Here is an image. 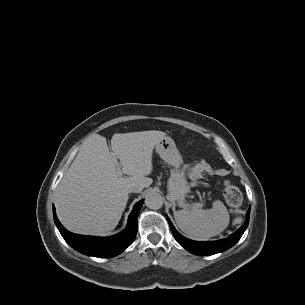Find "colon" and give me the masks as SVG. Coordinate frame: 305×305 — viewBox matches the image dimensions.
Listing matches in <instances>:
<instances>
[{
	"label": "colon",
	"mask_w": 305,
	"mask_h": 305,
	"mask_svg": "<svg viewBox=\"0 0 305 305\" xmlns=\"http://www.w3.org/2000/svg\"><path fill=\"white\" fill-rule=\"evenodd\" d=\"M223 195L226 203L231 207H238L242 203L240 190L229 181L224 183Z\"/></svg>",
	"instance_id": "1"
}]
</instances>
